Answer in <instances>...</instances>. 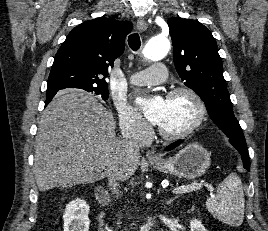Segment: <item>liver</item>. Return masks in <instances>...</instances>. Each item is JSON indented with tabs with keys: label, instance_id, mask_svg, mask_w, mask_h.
Instances as JSON below:
<instances>
[{
	"label": "liver",
	"instance_id": "liver-1",
	"mask_svg": "<svg viewBox=\"0 0 268 231\" xmlns=\"http://www.w3.org/2000/svg\"><path fill=\"white\" fill-rule=\"evenodd\" d=\"M140 154L116 138L115 120L94 96L60 92L41 116L33 172L40 191L89 184L119 171L130 178Z\"/></svg>",
	"mask_w": 268,
	"mask_h": 231
}]
</instances>
